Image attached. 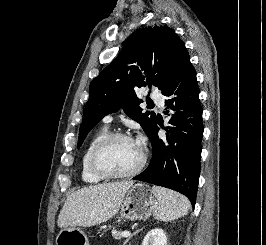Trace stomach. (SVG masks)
<instances>
[{"instance_id": "1", "label": "stomach", "mask_w": 266, "mask_h": 245, "mask_svg": "<svg viewBox=\"0 0 266 245\" xmlns=\"http://www.w3.org/2000/svg\"><path fill=\"white\" fill-rule=\"evenodd\" d=\"M157 207V199L149 185L137 183L126 193L120 205V217L128 221L149 219ZM57 245H89L88 237L81 229L66 227L61 229Z\"/></svg>"}]
</instances>
